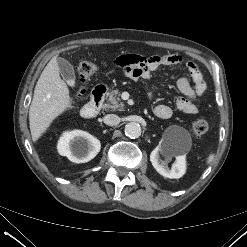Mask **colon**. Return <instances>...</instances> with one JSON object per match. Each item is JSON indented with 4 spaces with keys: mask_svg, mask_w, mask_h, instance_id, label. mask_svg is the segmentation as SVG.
Wrapping results in <instances>:
<instances>
[{
    "mask_svg": "<svg viewBox=\"0 0 247 247\" xmlns=\"http://www.w3.org/2000/svg\"><path fill=\"white\" fill-rule=\"evenodd\" d=\"M97 70V65L93 62L82 61L77 67V74L81 83L86 82ZM84 93V88L79 87L76 96L80 97ZM192 131L197 135L205 134L209 129V124L205 119L197 118L191 123Z\"/></svg>",
    "mask_w": 247,
    "mask_h": 247,
    "instance_id": "1",
    "label": "colon"
}]
</instances>
